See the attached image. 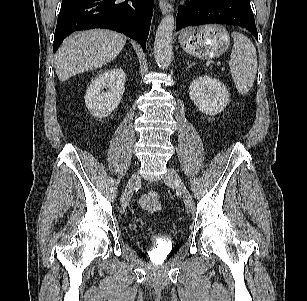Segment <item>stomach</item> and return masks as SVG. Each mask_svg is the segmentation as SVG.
<instances>
[{
    "label": "stomach",
    "mask_w": 307,
    "mask_h": 301,
    "mask_svg": "<svg viewBox=\"0 0 307 301\" xmlns=\"http://www.w3.org/2000/svg\"><path fill=\"white\" fill-rule=\"evenodd\" d=\"M184 51L200 59H212L222 55L229 47L227 30L217 24L189 27L179 35Z\"/></svg>",
    "instance_id": "0dacf381"
}]
</instances>
